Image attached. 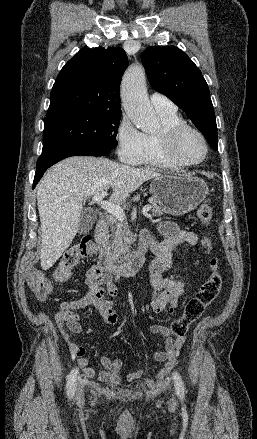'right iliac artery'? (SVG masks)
Here are the masks:
<instances>
[{
    "mask_svg": "<svg viewBox=\"0 0 257 439\" xmlns=\"http://www.w3.org/2000/svg\"><path fill=\"white\" fill-rule=\"evenodd\" d=\"M78 369H73L69 374L67 381V395L69 398L74 396L76 390V382H77Z\"/></svg>",
    "mask_w": 257,
    "mask_h": 439,
    "instance_id": "right-iliac-artery-1",
    "label": "right iliac artery"
}]
</instances>
